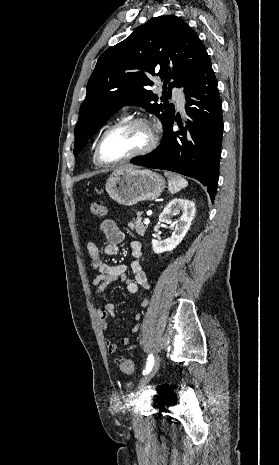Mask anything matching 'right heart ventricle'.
<instances>
[{"mask_svg":"<svg viewBox=\"0 0 279 465\" xmlns=\"http://www.w3.org/2000/svg\"><path fill=\"white\" fill-rule=\"evenodd\" d=\"M122 119H124V118H123L122 116H120V117H118L113 123H115V122H117V121H120V120H122ZM93 162H94L96 165H100V163H99L98 160H97V157H96V154H95V153H94V155H93Z\"/></svg>","mask_w":279,"mask_h":465,"instance_id":"1","label":"right heart ventricle"}]
</instances>
